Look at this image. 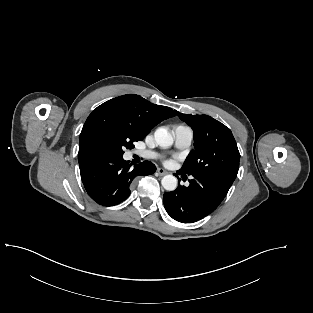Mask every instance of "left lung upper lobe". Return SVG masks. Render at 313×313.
<instances>
[{"label":"left lung upper lobe","mask_w":313,"mask_h":313,"mask_svg":"<svg viewBox=\"0 0 313 313\" xmlns=\"http://www.w3.org/2000/svg\"><path fill=\"white\" fill-rule=\"evenodd\" d=\"M176 114L194 131L195 150L189 153L180 172L232 184L238 173L240 153L231 130L207 115Z\"/></svg>","instance_id":"1"}]
</instances>
